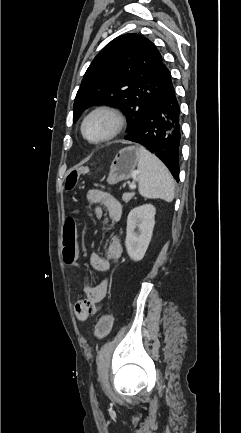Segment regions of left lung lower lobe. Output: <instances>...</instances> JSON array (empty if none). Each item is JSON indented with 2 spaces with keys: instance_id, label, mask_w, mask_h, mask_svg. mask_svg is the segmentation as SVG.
Returning a JSON list of instances; mask_svg holds the SVG:
<instances>
[{
  "instance_id": "1",
  "label": "left lung lower lobe",
  "mask_w": 241,
  "mask_h": 433,
  "mask_svg": "<svg viewBox=\"0 0 241 433\" xmlns=\"http://www.w3.org/2000/svg\"><path fill=\"white\" fill-rule=\"evenodd\" d=\"M125 139L147 147L168 167L174 178L179 179L180 107L170 72L163 91Z\"/></svg>"
}]
</instances>
